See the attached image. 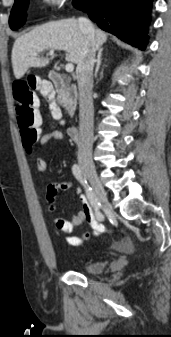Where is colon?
Listing matches in <instances>:
<instances>
[{
	"instance_id": "5ec220e1",
	"label": "colon",
	"mask_w": 171,
	"mask_h": 337,
	"mask_svg": "<svg viewBox=\"0 0 171 337\" xmlns=\"http://www.w3.org/2000/svg\"><path fill=\"white\" fill-rule=\"evenodd\" d=\"M14 98L16 103L17 124L20 128L22 145L28 153H31L39 137V133H44V126H40L41 117L38 111V103L34 98V91H39L42 102L48 103L44 107V112L51 113L53 119H64L65 113L58 109L59 99L56 91H51L49 84L41 78H26L19 80L13 85ZM85 236L89 238L86 233ZM123 248L130 245L123 240H119Z\"/></svg>"
}]
</instances>
